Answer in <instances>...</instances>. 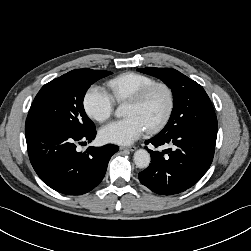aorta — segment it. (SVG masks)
<instances>
[{
  "label": "aorta",
  "instance_id": "obj_1",
  "mask_svg": "<svg viewBox=\"0 0 251 251\" xmlns=\"http://www.w3.org/2000/svg\"><path fill=\"white\" fill-rule=\"evenodd\" d=\"M115 115L117 117H122L125 115V109H124V105H120L116 111H115ZM150 154L148 153L147 150L145 149H139L137 151H135L134 153V163L135 165L140 168V169H145L149 166L150 164Z\"/></svg>",
  "mask_w": 251,
  "mask_h": 251
}]
</instances>
